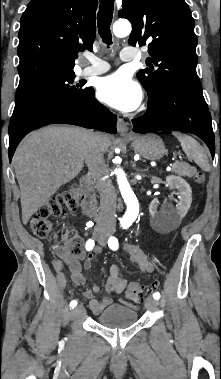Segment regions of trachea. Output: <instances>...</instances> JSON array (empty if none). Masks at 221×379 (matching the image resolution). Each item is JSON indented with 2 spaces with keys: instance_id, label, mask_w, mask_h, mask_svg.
I'll use <instances>...</instances> for the list:
<instances>
[{
  "instance_id": "1",
  "label": "trachea",
  "mask_w": 221,
  "mask_h": 379,
  "mask_svg": "<svg viewBox=\"0 0 221 379\" xmlns=\"http://www.w3.org/2000/svg\"><path fill=\"white\" fill-rule=\"evenodd\" d=\"M113 9L114 0H100L99 11L97 14L98 32L107 46L112 44L110 25L113 17Z\"/></svg>"
}]
</instances>
